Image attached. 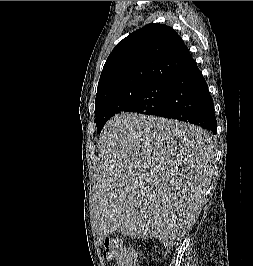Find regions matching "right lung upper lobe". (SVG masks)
I'll list each match as a JSON object with an SVG mask.
<instances>
[{
  "instance_id": "1",
  "label": "right lung upper lobe",
  "mask_w": 253,
  "mask_h": 266,
  "mask_svg": "<svg viewBox=\"0 0 253 266\" xmlns=\"http://www.w3.org/2000/svg\"><path fill=\"white\" fill-rule=\"evenodd\" d=\"M194 64L175 30L148 24L124 38L110 53L98 83L96 105L150 83H170Z\"/></svg>"
}]
</instances>
